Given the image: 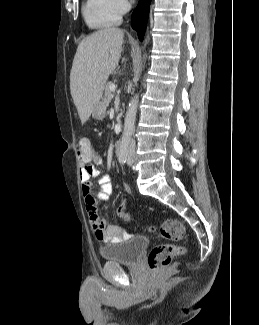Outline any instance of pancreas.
<instances>
[{"instance_id":"1","label":"pancreas","mask_w":259,"mask_h":325,"mask_svg":"<svg viewBox=\"0 0 259 325\" xmlns=\"http://www.w3.org/2000/svg\"><path fill=\"white\" fill-rule=\"evenodd\" d=\"M111 82L107 83L106 87H105V92H104V97H103V104L105 105V107L109 106V103L111 101L112 98V91L110 89L111 86Z\"/></svg>"}]
</instances>
